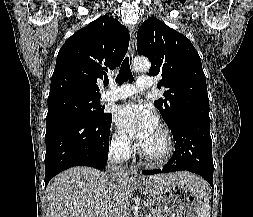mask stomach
Returning a JSON list of instances; mask_svg holds the SVG:
<instances>
[{"instance_id":"0dacf381","label":"stomach","mask_w":253,"mask_h":217,"mask_svg":"<svg viewBox=\"0 0 253 217\" xmlns=\"http://www.w3.org/2000/svg\"><path fill=\"white\" fill-rule=\"evenodd\" d=\"M139 186L154 198L163 217H201L203 191L200 188L172 180L158 186H151L146 181Z\"/></svg>"}]
</instances>
